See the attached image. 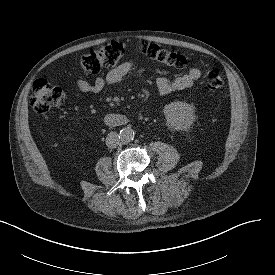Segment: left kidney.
I'll return each instance as SVG.
<instances>
[{
    "mask_svg": "<svg viewBox=\"0 0 275 275\" xmlns=\"http://www.w3.org/2000/svg\"><path fill=\"white\" fill-rule=\"evenodd\" d=\"M163 112L167 124L175 130H186L191 126L195 117L193 108L181 101L165 105Z\"/></svg>",
    "mask_w": 275,
    "mask_h": 275,
    "instance_id": "left-kidney-1",
    "label": "left kidney"
}]
</instances>
